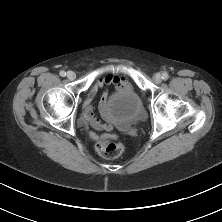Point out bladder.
<instances>
[{
    "label": "bladder",
    "mask_w": 222,
    "mask_h": 222,
    "mask_svg": "<svg viewBox=\"0 0 222 222\" xmlns=\"http://www.w3.org/2000/svg\"><path fill=\"white\" fill-rule=\"evenodd\" d=\"M106 114L109 118L130 124L145 120V110L139 94L131 88L114 93L107 102Z\"/></svg>",
    "instance_id": "31cf9c89"
}]
</instances>
